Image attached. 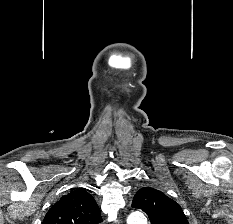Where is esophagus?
<instances>
[{"mask_svg":"<svg viewBox=\"0 0 233 224\" xmlns=\"http://www.w3.org/2000/svg\"><path fill=\"white\" fill-rule=\"evenodd\" d=\"M115 224H122L121 219H118V220L115 222Z\"/></svg>","mask_w":233,"mask_h":224,"instance_id":"obj_1","label":"esophagus"}]
</instances>
